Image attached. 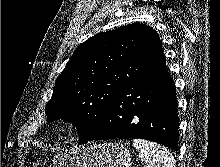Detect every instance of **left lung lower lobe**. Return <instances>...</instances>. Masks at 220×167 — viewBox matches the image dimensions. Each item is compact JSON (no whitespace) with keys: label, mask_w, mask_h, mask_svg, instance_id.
<instances>
[{"label":"left lung lower lobe","mask_w":220,"mask_h":167,"mask_svg":"<svg viewBox=\"0 0 220 167\" xmlns=\"http://www.w3.org/2000/svg\"><path fill=\"white\" fill-rule=\"evenodd\" d=\"M162 62L123 85L109 103L94 140L141 138L177 150L179 119L175 84Z\"/></svg>","instance_id":"obj_1"}]
</instances>
